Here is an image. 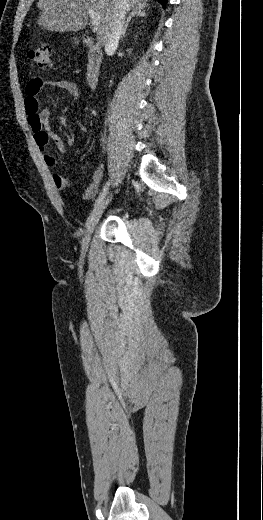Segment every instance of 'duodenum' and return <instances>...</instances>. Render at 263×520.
<instances>
[{
    "instance_id": "1",
    "label": "duodenum",
    "mask_w": 263,
    "mask_h": 520,
    "mask_svg": "<svg viewBox=\"0 0 263 520\" xmlns=\"http://www.w3.org/2000/svg\"><path fill=\"white\" fill-rule=\"evenodd\" d=\"M85 45L88 50L86 82L89 87L95 88L100 76L103 54L101 48L96 45L90 38H85Z\"/></svg>"
}]
</instances>
